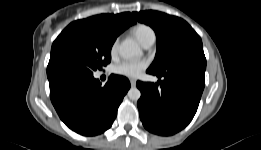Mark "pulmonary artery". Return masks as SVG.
I'll return each mask as SVG.
<instances>
[{"label": "pulmonary artery", "instance_id": "1", "mask_svg": "<svg viewBox=\"0 0 261 150\" xmlns=\"http://www.w3.org/2000/svg\"><path fill=\"white\" fill-rule=\"evenodd\" d=\"M155 42V35L149 36L146 41L142 44L144 48H150Z\"/></svg>", "mask_w": 261, "mask_h": 150}]
</instances>
